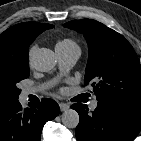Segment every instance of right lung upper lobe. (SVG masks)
Listing matches in <instances>:
<instances>
[{
	"label": "right lung upper lobe",
	"instance_id": "obj_1",
	"mask_svg": "<svg viewBox=\"0 0 141 141\" xmlns=\"http://www.w3.org/2000/svg\"><path fill=\"white\" fill-rule=\"evenodd\" d=\"M51 24L24 22L16 24L0 35V61L28 62L29 45Z\"/></svg>",
	"mask_w": 141,
	"mask_h": 141
}]
</instances>
